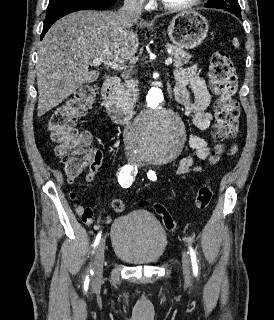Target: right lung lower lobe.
Listing matches in <instances>:
<instances>
[{
	"instance_id": "obj_1",
	"label": "right lung lower lobe",
	"mask_w": 274,
	"mask_h": 320,
	"mask_svg": "<svg viewBox=\"0 0 274 320\" xmlns=\"http://www.w3.org/2000/svg\"><path fill=\"white\" fill-rule=\"evenodd\" d=\"M117 0H73L47 9L41 40L48 29L61 17L79 10L93 9L106 10Z\"/></svg>"
}]
</instances>
